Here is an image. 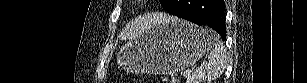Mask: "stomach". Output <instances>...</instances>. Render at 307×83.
Returning <instances> with one entry per match:
<instances>
[{"instance_id":"1","label":"stomach","mask_w":307,"mask_h":83,"mask_svg":"<svg viewBox=\"0 0 307 83\" xmlns=\"http://www.w3.org/2000/svg\"><path fill=\"white\" fill-rule=\"evenodd\" d=\"M208 29L172 18L158 22L123 46L117 62L133 73L172 74L199 60L211 47Z\"/></svg>"}]
</instances>
